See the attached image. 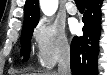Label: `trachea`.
<instances>
[{"instance_id": "obj_1", "label": "trachea", "mask_w": 107, "mask_h": 75, "mask_svg": "<svg viewBox=\"0 0 107 75\" xmlns=\"http://www.w3.org/2000/svg\"><path fill=\"white\" fill-rule=\"evenodd\" d=\"M76 4H84L83 0H75Z\"/></svg>"}]
</instances>
